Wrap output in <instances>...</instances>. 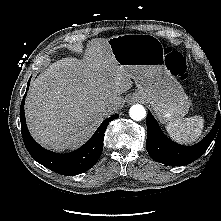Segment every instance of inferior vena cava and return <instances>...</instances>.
<instances>
[{"instance_id": "inferior-vena-cava-1", "label": "inferior vena cava", "mask_w": 221, "mask_h": 221, "mask_svg": "<svg viewBox=\"0 0 221 221\" xmlns=\"http://www.w3.org/2000/svg\"><path fill=\"white\" fill-rule=\"evenodd\" d=\"M118 108H119V105L116 103L107 104L104 107L105 115L109 116V115L115 113L118 110Z\"/></svg>"}]
</instances>
